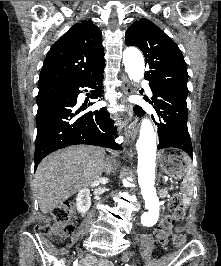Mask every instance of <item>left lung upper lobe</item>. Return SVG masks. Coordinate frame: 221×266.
Returning a JSON list of instances; mask_svg holds the SVG:
<instances>
[{"label": "left lung upper lobe", "instance_id": "1", "mask_svg": "<svg viewBox=\"0 0 221 266\" xmlns=\"http://www.w3.org/2000/svg\"><path fill=\"white\" fill-rule=\"evenodd\" d=\"M126 45L140 48L149 71L145 79L188 95V73L176 43L151 21L142 18L126 31Z\"/></svg>", "mask_w": 221, "mask_h": 266}]
</instances>
